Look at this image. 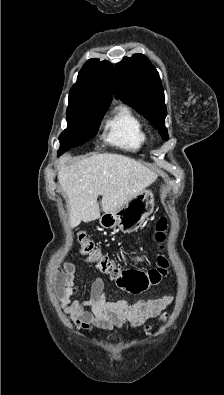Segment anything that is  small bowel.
I'll list each match as a JSON object with an SVG mask.
<instances>
[{
  "label": "small bowel",
  "instance_id": "small-bowel-1",
  "mask_svg": "<svg viewBox=\"0 0 224 395\" xmlns=\"http://www.w3.org/2000/svg\"><path fill=\"white\" fill-rule=\"evenodd\" d=\"M75 264L65 263L56 274V293L61 308L78 327L83 329L98 328L112 330L128 324L131 327L142 325L150 318L160 314L172 301V296L166 294L147 300L139 299L130 302L126 299L118 302H107L104 281L97 278L91 287L90 298L86 301H70L77 293L73 283ZM90 307L91 310H87Z\"/></svg>",
  "mask_w": 224,
  "mask_h": 395
}]
</instances>
